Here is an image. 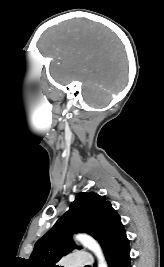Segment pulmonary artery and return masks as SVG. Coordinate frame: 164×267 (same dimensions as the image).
Returning <instances> with one entry per match:
<instances>
[{
  "mask_svg": "<svg viewBox=\"0 0 164 267\" xmlns=\"http://www.w3.org/2000/svg\"><path fill=\"white\" fill-rule=\"evenodd\" d=\"M93 262L92 257L88 253L78 254L74 257H69L66 259L67 267H84L86 265H91Z\"/></svg>",
  "mask_w": 164,
  "mask_h": 267,
  "instance_id": "obj_1",
  "label": "pulmonary artery"
}]
</instances>
